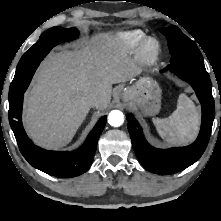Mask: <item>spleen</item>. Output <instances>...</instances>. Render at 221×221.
Returning a JSON list of instances; mask_svg holds the SVG:
<instances>
[{
	"mask_svg": "<svg viewBox=\"0 0 221 221\" xmlns=\"http://www.w3.org/2000/svg\"><path fill=\"white\" fill-rule=\"evenodd\" d=\"M152 121L163 140L174 145H185L197 136L200 113L193 101L181 94L176 110L169 117L153 118Z\"/></svg>",
	"mask_w": 221,
	"mask_h": 221,
	"instance_id": "spleen-1",
	"label": "spleen"
}]
</instances>
